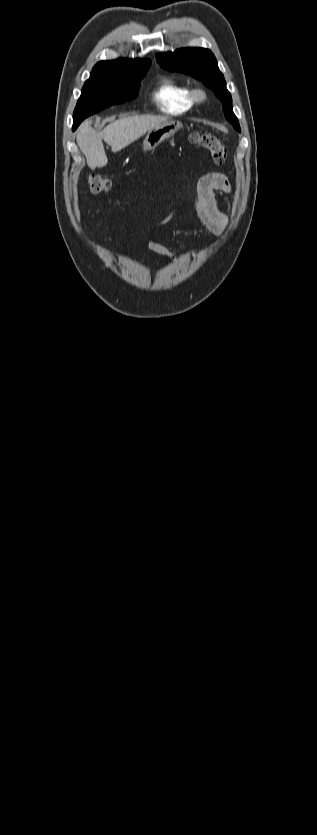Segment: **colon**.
Segmentation results:
<instances>
[{
  "instance_id": "1",
  "label": "colon",
  "mask_w": 317,
  "mask_h": 835,
  "mask_svg": "<svg viewBox=\"0 0 317 835\" xmlns=\"http://www.w3.org/2000/svg\"><path fill=\"white\" fill-rule=\"evenodd\" d=\"M191 141L209 151L212 160L216 164H221L225 161L227 155L226 147L216 136L208 133L196 132L191 136ZM88 184L92 194L107 192L112 187L111 179L100 174H93L89 176Z\"/></svg>"
}]
</instances>
